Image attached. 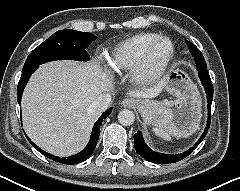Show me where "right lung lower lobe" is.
Returning a JSON list of instances; mask_svg holds the SVG:
<instances>
[{"mask_svg": "<svg viewBox=\"0 0 240 191\" xmlns=\"http://www.w3.org/2000/svg\"><path fill=\"white\" fill-rule=\"evenodd\" d=\"M39 66H33L27 69L22 70V75L17 87V99H18V103L19 105L21 104V97H22V93L24 91V88L30 78V76L35 72V70L38 68ZM112 111V108H109L106 112H104L101 117L98 119V121L95 123L93 130H92V134H91V138L90 141L88 143V145L78 154L70 156V157H57V156H53L52 154H49L45 151H43L41 148H39L37 145H35L31 140H29V142L44 156L48 157L49 159H52L56 162L62 163V164H67V165H73V164H77L80 162H83L85 160H87L92 152L95 150L98 138H99V130H100V125L101 122L103 121V119H105Z\"/></svg>", "mask_w": 240, "mask_h": 191, "instance_id": "98d812e1", "label": "right lung lower lobe"}]
</instances>
